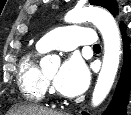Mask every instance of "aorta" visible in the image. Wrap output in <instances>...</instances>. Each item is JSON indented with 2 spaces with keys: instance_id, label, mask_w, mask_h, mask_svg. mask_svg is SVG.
<instances>
[{
  "instance_id": "762f6f07",
  "label": "aorta",
  "mask_w": 131,
  "mask_h": 115,
  "mask_svg": "<svg viewBox=\"0 0 131 115\" xmlns=\"http://www.w3.org/2000/svg\"><path fill=\"white\" fill-rule=\"evenodd\" d=\"M87 20L92 21L99 29L104 41L103 64L92 95L93 106H98L108 95L117 74L121 54L120 35L113 16L101 8H78L65 16V21L68 23ZM53 58V56H46L43 61L53 60Z\"/></svg>"
}]
</instances>
